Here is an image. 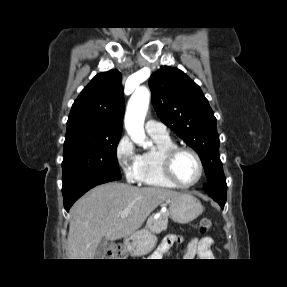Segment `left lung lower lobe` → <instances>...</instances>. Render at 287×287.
<instances>
[{
	"mask_svg": "<svg viewBox=\"0 0 287 287\" xmlns=\"http://www.w3.org/2000/svg\"><path fill=\"white\" fill-rule=\"evenodd\" d=\"M216 202L219 203V205L224 208V205H225V202H226V199H223V198H218V197H213L211 196Z\"/></svg>",
	"mask_w": 287,
	"mask_h": 287,
	"instance_id": "1",
	"label": "left lung lower lobe"
}]
</instances>
